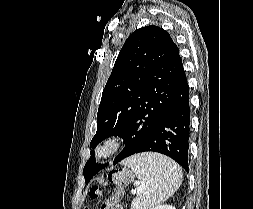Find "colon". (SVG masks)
<instances>
[{
    "instance_id": "obj_1",
    "label": "colon",
    "mask_w": 253,
    "mask_h": 209,
    "mask_svg": "<svg viewBox=\"0 0 253 209\" xmlns=\"http://www.w3.org/2000/svg\"><path fill=\"white\" fill-rule=\"evenodd\" d=\"M108 180L116 185V189L109 199L102 202L100 209H118V201L122 196L123 188L131 182L132 174L128 170H118L109 173ZM89 195L91 199H98L101 195V188L99 186H92L89 190Z\"/></svg>"
}]
</instances>
